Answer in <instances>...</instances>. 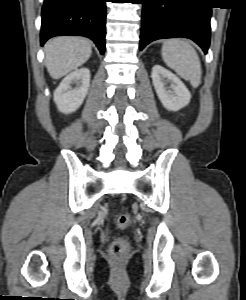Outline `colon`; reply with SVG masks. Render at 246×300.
Listing matches in <instances>:
<instances>
[{
  "instance_id": "colon-1",
  "label": "colon",
  "mask_w": 246,
  "mask_h": 300,
  "mask_svg": "<svg viewBox=\"0 0 246 300\" xmlns=\"http://www.w3.org/2000/svg\"><path fill=\"white\" fill-rule=\"evenodd\" d=\"M117 225L121 229H126L131 224L129 215L122 214L116 218ZM130 244L125 238H118L114 240L110 246V257L113 261L119 262L125 259L129 253Z\"/></svg>"
}]
</instances>
